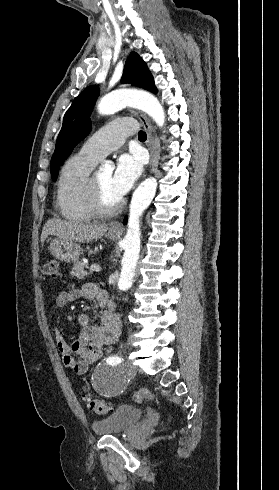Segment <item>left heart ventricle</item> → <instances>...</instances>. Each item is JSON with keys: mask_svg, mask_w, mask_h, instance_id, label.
Wrapping results in <instances>:
<instances>
[{"mask_svg": "<svg viewBox=\"0 0 279 490\" xmlns=\"http://www.w3.org/2000/svg\"><path fill=\"white\" fill-rule=\"evenodd\" d=\"M101 187L103 188V194L106 201L113 203L118 200L117 197L113 194L111 187V173H100L95 176Z\"/></svg>", "mask_w": 279, "mask_h": 490, "instance_id": "b2bd125f", "label": "left heart ventricle"}]
</instances>
